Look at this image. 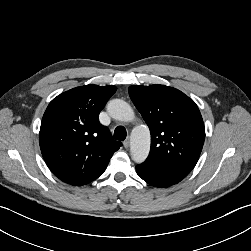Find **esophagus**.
Listing matches in <instances>:
<instances>
[{
    "label": "esophagus",
    "instance_id": "obj_1",
    "mask_svg": "<svg viewBox=\"0 0 251 251\" xmlns=\"http://www.w3.org/2000/svg\"><path fill=\"white\" fill-rule=\"evenodd\" d=\"M123 145L125 148H128L129 145H130V140L129 139H126L124 142H123Z\"/></svg>",
    "mask_w": 251,
    "mask_h": 251
}]
</instances>
